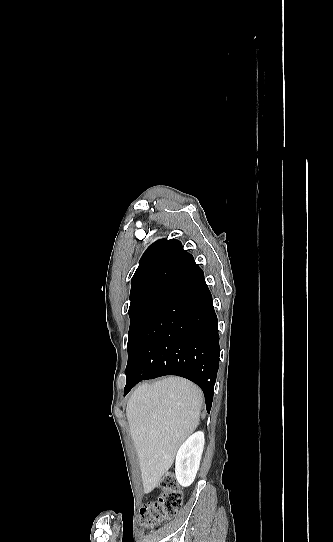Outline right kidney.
I'll use <instances>...</instances> for the list:
<instances>
[{"instance_id":"ca27d5eb","label":"right kidney","mask_w":333,"mask_h":542,"mask_svg":"<svg viewBox=\"0 0 333 542\" xmlns=\"http://www.w3.org/2000/svg\"><path fill=\"white\" fill-rule=\"evenodd\" d=\"M203 432H195L180 446L175 462V476L178 484L188 488L193 484L201 462L204 448Z\"/></svg>"}]
</instances>
